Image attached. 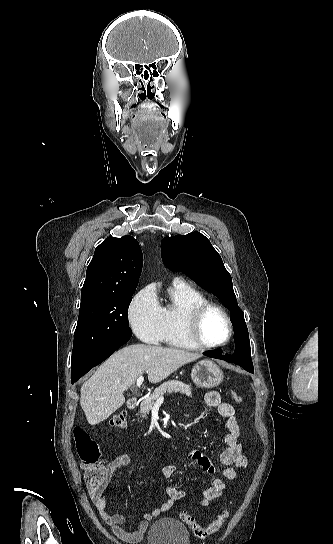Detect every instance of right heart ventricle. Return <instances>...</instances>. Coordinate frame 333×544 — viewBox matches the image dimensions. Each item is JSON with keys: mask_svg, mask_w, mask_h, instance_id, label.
Here are the masks:
<instances>
[{"mask_svg": "<svg viewBox=\"0 0 333 544\" xmlns=\"http://www.w3.org/2000/svg\"><path fill=\"white\" fill-rule=\"evenodd\" d=\"M168 293L169 301L161 306L164 318L163 342L177 348H198L188 336L186 318L194 306L206 301V297L185 282L173 283Z\"/></svg>", "mask_w": 333, "mask_h": 544, "instance_id": "right-heart-ventricle-1", "label": "right heart ventricle"}]
</instances>
